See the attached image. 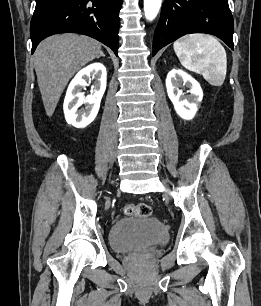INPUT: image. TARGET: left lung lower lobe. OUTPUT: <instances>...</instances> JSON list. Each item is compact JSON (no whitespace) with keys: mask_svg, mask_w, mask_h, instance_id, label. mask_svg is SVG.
<instances>
[{"mask_svg":"<svg viewBox=\"0 0 261 306\" xmlns=\"http://www.w3.org/2000/svg\"><path fill=\"white\" fill-rule=\"evenodd\" d=\"M233 30L228 0H164L154 34L153 56L162 47L190 33L215 35L233 49Z\"/></svg>","mask_w":261,"mask_h":306,"instance_id":"1","label":"left lung lower lobe"}]
</instances>
